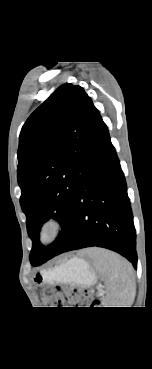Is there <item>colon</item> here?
I'll return each mask as SVG.
<instances>
[{"label":"colon","instance_id":"obj_1","mask_svg":"<svg viewBox=\"0 0 152 369\" xmlns=\"http://www.w3.org/2000/svg\"><path fill=\"white\" fill-rule=\"evenodd\" d=\"M43 300L47 305L52 307H65L70 305L86 307L91 303L92 298L85 290L57 286L52 290L45 291Z\"/></svg>","mask_w":152,"mask_h":369}]
</instances>
